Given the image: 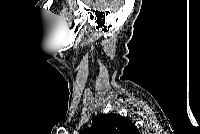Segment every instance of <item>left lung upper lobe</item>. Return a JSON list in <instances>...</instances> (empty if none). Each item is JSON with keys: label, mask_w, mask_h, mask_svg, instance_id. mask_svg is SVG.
I'll return each instance as SVG.
<instances>
[{"label": "left lung upper lobe", "mask_w": 200, "mask_h": 134, "mask_svg": "<svg viewBox=\"0 0 200 134\" xmlns=\"http://www.w3.org/2000/svg\"><path fill=\"white\" fill-rule=\"evenodd\" d=\"M83 134H139L137 127L118 114H100L92 118V127Z\"/></svg>", "instance_id": "1"}]
</instances>
